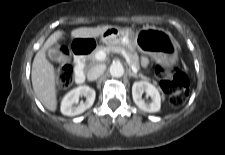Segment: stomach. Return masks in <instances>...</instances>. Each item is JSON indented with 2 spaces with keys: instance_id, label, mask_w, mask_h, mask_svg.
Masks as SVG:
<instances>
[{
  "instance_id": "obj_1",
  "label": "stomach",
  "mask_w": 225,
  "mask_h": 155,
  "mask_svg": "<svg viewBox=\"0 0 225 155\" xmlns=\"http://www.w3.org/2000/svg\"><path fill=\"white\" fill-rule=\"evenodd\" d=\"M106 44H121L128 50L138 49L153 58L164 56L176 43L171 34L155 26H146L137 31L112 27L101 35Z\"/></svg>"
}]
</instances>
